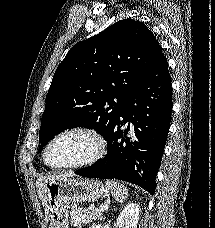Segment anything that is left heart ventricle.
Instances as JSON below:
<instances>
[{
	"label": "left heart ventricle",
	"instance_id": "b2bd125f",
	"mask_svg": "<svg viewBox=\"0 0 215 228\" xmlns=\"http://www.w3.org/2000/svg\"><path fill=\"white\" fill-rule=\"evenodd\" d=\"M93 149L91 139L83 134H68L56 140L46 154L52 167L63 166L86 157Z\"/></svg>",
	"mask_w": 215,
	"mask_h": 228
}]
</instances>
